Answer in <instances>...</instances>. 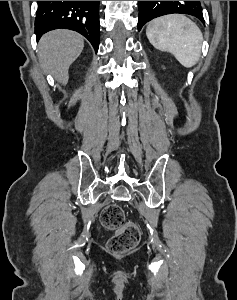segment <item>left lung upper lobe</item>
Returning <instances> with one entry per match:
<instances>
[{
	"label": "left lung upper lobe",
	"instance_id": "1",
	"mask_svg": "<svg viewBox=\"0 0 237 300\" xmlns=\"http://www.w3.org/2000/svg\"><path fill=\"white\" fill-rule=\"evenodd\" d=\"M173 13L189 14L204 22L200 1H139L138 30L153 18Z\"/></svg>",
	"mask_w": 237,
	"mask_h": 300
}]
</instances>
